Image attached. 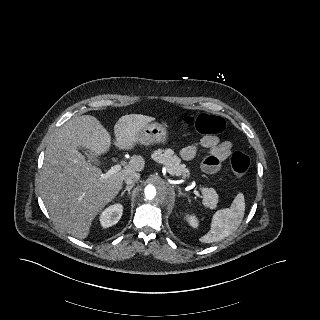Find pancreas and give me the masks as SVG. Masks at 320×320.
<instances>
[{
  "label": "pancreas",
  "instance_id": "pancreas-1",
  "mask_svg": "<svg viewBox=\"0 0 320 320\" xmlns=\"http://www.w3.org/2000/svg\"><path fill=\"white\" fill-rule=\"evenodd\" d=\"M156 162L163 164L171 175L189 178L190 173L181 159L171 149H158L151 156ZM203 204L206 208L214 209L218 203V194L213 188H202Z\"/></svg>",
  "mask_w": 320,
  "mask_h": 320
}]
</instances>
